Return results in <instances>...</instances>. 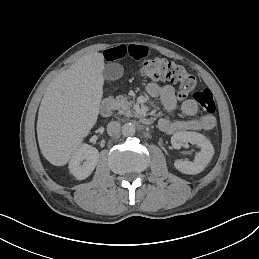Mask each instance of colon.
I'll return each mask as SVG.
<instances>
[{"label":"colon","instance_id":"obj_1","mask_svg":"<svg viewBox=\"0 0 259 259\" xmlns=\"http://www.w3.org/2000/svg\"><path fill=\"white\" fill-rule=\"evenodd\" d=\"M139 72L142 77L151 81H166L178 84L180 89L179 96L183 97L196 86L195 77L181 64L164 58L146 60L141 64ZM193 99L207 113L211 114L215 112L216 104L210 90L204 89L195 92Z\"/></svg>","mask_w":259,"mask_h":259}]
</instances>
